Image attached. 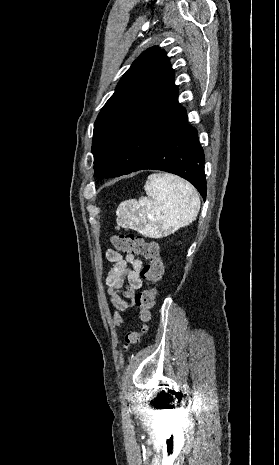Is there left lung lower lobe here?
<instances>
[{
	"label": "left lung lower lobe",
	"mask_w": 279,
	"mask_h": 465,
	"mask_svg": "<svg viewBox=\"0 0 279 465\" xmlns=\"http://www.w3.org/2000/svg\"><path fill=\"white\" fill-rule=\"evenodd\" d=\"M187 121L185 112L175 127L131 172L156 169L179 175L192 183L205 200L204 153L196 129Z\"/></svg>",
	"instance_id": "0a47b994"
}]
</instances>
